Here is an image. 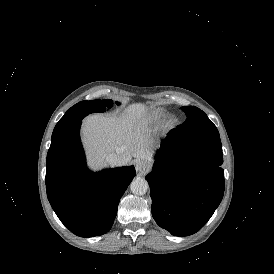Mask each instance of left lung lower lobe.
<instances>
[{"label": "left lung lower lobe", "instance_id": "1", "mask_svg": "<svg viewBox=\"0 0 274 274\" xmlns=\"http://www.w3.org/2000/svg\"><path fill=\"white\" fill-rule=\"evenodd\" d=\"M222 163L219 135L171 130L146 176L157 224L175 236L201 229L223 198Z\"/></svg>", "mask_w": 274, "mask_h": 274}]
</instances>
